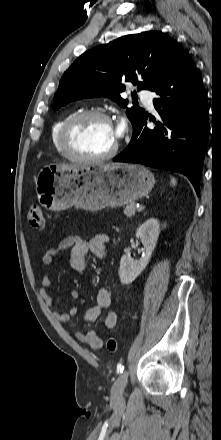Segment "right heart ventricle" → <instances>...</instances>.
<instances>
[{"instance_id":"1","label":"right heart ventricle","mask_w":221,"mask_h":440,"mask_svg":"<svg viewBox=\"0 0 221 440\" xmlns=\"http://www.w3.org/2000/svg\"><path fill=\"white\" fill-rule=\"evenodd\" d=\"M69 117H70V115H65V116L57 119L53 123V125L51 127V132H50V140H51V144H52L54 151L58 155L65 157V158H67V156L63 153V151L60 147L59 135H60V130H61L62 125Z\"/></svg>"}]
</instances>
